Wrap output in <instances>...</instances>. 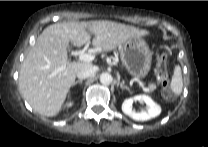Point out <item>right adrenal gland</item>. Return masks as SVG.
Wrapping results in <instances>:
<instances>
[{"label":"right adrenal gland","mask_w":208,"mask_h":147,"mask_svg":"<svg viewBox=\"0 0 208 147\" xmlns=\"http://www.w3.org/2000/svg\"><path fill=\"white\" fill-rule=\"evenodd\" d=\"M82 82H83V80H82V79H79V80L75 81L73 85H76V84H78V83L81 84Z\"/></svg>","instance_id":"2a0ac1e0"}]
</instances>
